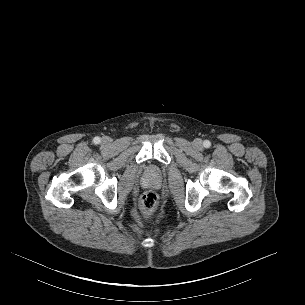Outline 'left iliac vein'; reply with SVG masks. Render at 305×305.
<instances>
[{"mask_svg": "<svg viewBox=\"0 0 305 305\" xmlns=\"http://www.w3.org/2000/svg\"><path fill=\"white\" fill-rule=\"evenodd\" d=\"M194 145H195L197 148H200V147L202 146L201 140H199V139L195 140Z\"/></svg>", "mask_w": 305, "mask_h": 305, "instance_id": "left-iliac-vein-1", "label": "left iliac vein"}]
</instances>
